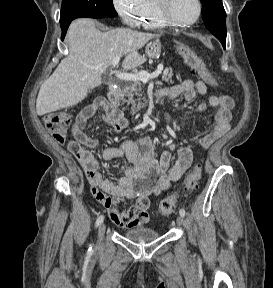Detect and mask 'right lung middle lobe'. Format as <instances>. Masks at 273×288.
<instances>
[{
    "instance_id": "obj_1",
    "label": "right lung middle lobe",
    "mask_w": 273,
    "mask_h": 288,
    "mask_svg": "<svg viewBox=\"0 0 273 288\" xmlns=\"http://www.w3.org/2000/svg\"><path fill=\"white\" fill-rule=\"evenodd\" d=\"M115 17L117 12L112 0H62L60 26L79 17Z\"/></svg>"
}]
</instances>
